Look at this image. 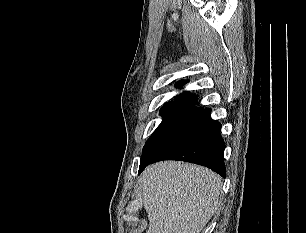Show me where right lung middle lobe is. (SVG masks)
I'll return each mask as SVG.
<instances>
[{"mask_svg":"<svg viewBox=\"0 0 306 233\" xmlns=\"http://www.w3.org/2000/svg\"><path fill=\"white\" fill-rule=\"evenodd\" d=\"M204 110V108L185 103H166L161 109V115L165 118L147 140L143 148L140 165L154 158Z\"/></svg>","mask_w":306,"mask_h":233,"instance_id":"dd1d6c3e","label":"right lung middle lobe"}]
</instances>
